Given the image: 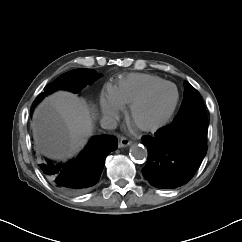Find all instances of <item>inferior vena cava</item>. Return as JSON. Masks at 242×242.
Returning <instances> with one entry per match:
<instances>
[{"label":"inferior vena cava","instance_id":"1","mask_svg":"<svg viewBox=\"0 0 242 242\" xmlns=\"http://www.w3.org/2000/svg\"><path fill=\"white\" fill-rule=\"evenodd\" d=\"M101 127L110 130L115 129L117 127V121L110 116H104L101 119Z\"/></svg>","mask_w":242,"mask_h":242}]
</instances>
